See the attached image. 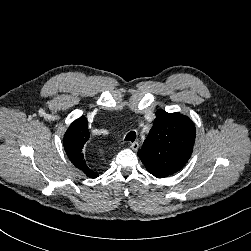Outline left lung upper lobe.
Segmentation results:
<instances>
[{
    "label": "left lung upper lobe",
    "mask_w": 251,
    "mask_h": 251,
    "mask_svg": "<svg viewBox=\"0 0 251 251\" xmlns=\"http://www.w3.org/2000/svg\"><path fill=\"white\" fill-rule=\"evenodd\" d=\"M195 142V126L180 113L156 111L150 130L138 156L149 173L172 175L190 159Z\"/></svg>",
    "instance_id": "1"
}]
</instances>
